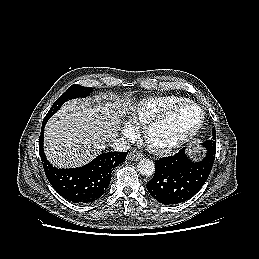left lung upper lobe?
<instances>
[{"label": "left lung upper lobe", "instance_id": "left-lung-upper-lobe-1", "mask_svg": "<svg viewBox=\"0 0 259 259\" xmlns=\"http://www.w3.org/2000/svg\"><path fill=\"white\" fill-rule=\"evenodd\" d=\"M212 135H213V138L211 140L205 141V143H203V144L216 146V141H214L216 139L215 127L212 130Z\"/></svg>", "mask_w": 259, "mask_h": 259}]
</instances>
